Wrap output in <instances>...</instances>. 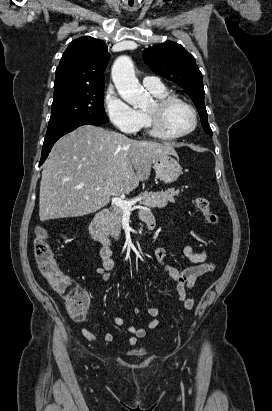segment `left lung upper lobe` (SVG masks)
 I'll return each instance as SVG.
<instances>
[{
    "mask_svg": "<svg viewBox=\"0 0 272 411\" xmlns=\"http://www.w3.org/2000/svg\"><path fill=\"white\" fill-rule=\"evenodd\" d=\"M144 62L156 74L182 87L194 102L205 132L212 135L204 104L202 74L194 57L178 43H163L142 53Z\"/></svg>",
    "mask_w": 272,
    "mask_h": 411,
    "instance_id": "1",
    "label": "left lung upper lobe"
}]
</instances>
